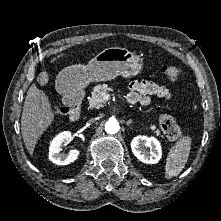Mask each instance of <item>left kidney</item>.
I'll return each mask as SVG.
<instances>
[{
    "label": "left kidney",
    "mask_w": 221,
    "mask_h": 221,
    "mask_svg": "<svg viewBox=\"0 0 221 221\" xmlns=\"http://www.w3.org/2000/svg\"><path fill=\"white\" fill-rule=\"evenodd\" d=\"M131 149L136 158L146 164L158 163L162 156L161 145L155 137L136 136L131 141Z\"/></svg>",
    "instance_id": "obj_1"
}]
</instances>
